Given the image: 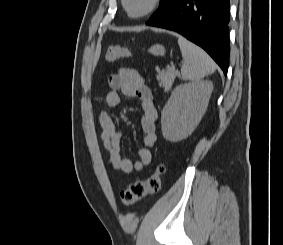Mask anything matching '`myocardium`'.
Segmentation results:
<instances>
[{
  "label": "myocardium",
  "mask_w": 283,
  "mask_h": 245,
  "mask_svg": "<svg viewBox=\"0 0 283 245\" xmlns=\"http://www.w3.org/2000/svg\"><path fill=\"white\" fill-rule=\"evenodd\" d=\"M121 3H122V7H123L126 15L129 18H131V19H141V18H145V17L151 15L152 13H154L160 7L162 0H152L149 7L139 14H132L129 11V9L127 7V0H121Z\"/></svg>",
  "instance_id": "myocardium-1"
}]
</instances>
